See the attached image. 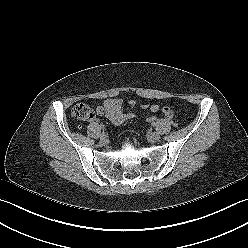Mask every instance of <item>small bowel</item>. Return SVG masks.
I'll list each match as a JSON object with an SVG mask.
<instances>
[{
  "label": "small bowel",
  "mask_w": 248,
  "mask_h": 248,
  "mask_svg": "<svg viewBox=\"0 0 248 248\" xmlns=\"http://www.w3.org/2000/svg\"><path fill=\"white\" fill-rule=\"evenodd\" d=\"M130 106L134 107V102H130ZM142 109H147L150 112L160 111L163 116L167 119L173 117V110L168 105L160 106L158 104H144L141 106ZM96 112L100 116H105L114 125H121L126 120L132 119L136 116V112L132 110H124L122 100L118 99H107L102 105L96 107Z\"/></svg>",
  "instance_id": "c3829d8e"
}]
</instances>
